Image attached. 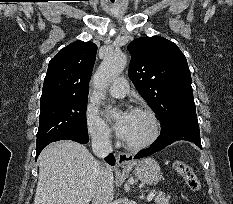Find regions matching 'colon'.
Here are the masks:
<instances>
[{"instance_id": "5ec220e1", "label": "colon", "mask_w": 233, "mask_h": 204, "mask_svg": "<svg viewBox=\"0 0 233 204\" xmlns=\"http://www.w3.org/2000/svg\"><path fill=\"white\" fill-rule=\"evenodd\" d=\"M173 166H174V169L183 177L187 186L192 191L200 190V187H201L200 182L198 178L196 177L191 166H189L183 161H175Z\"/></svg>"}]
</instances>
